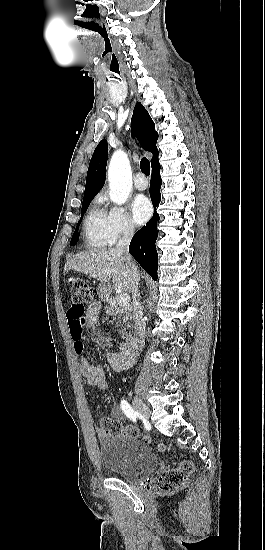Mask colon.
<instances>
[{"mask_svg":"<svg viewBox=\"0 0 265 550\" xmlns=\"http://www.w3.org/2000/svg\"><path fill=\"white\" fill-rule=\"evenodd\" d=\"M70 291L72 305L67 311L70 319V328L74 337L82 331V322L85 317V306L93 299V290L84 280L73 278L70 280ZM77 321V323L75 322ZM101 430L109 436H123L130 438H141L144 442H149L147 436H143L140 431L131 425H123L120 421L105 417L101 420ZM160 451L165 450L164 445H159ZM193 464L188 461L181 462L177 467L164 471L158 478V488L160 491L170 493L181 488L188 476L193 472Z\"/></svg>","mask_w":265,"mask_h":550,"instance_id":"colon-1","label":"colon"}]
</instances>
